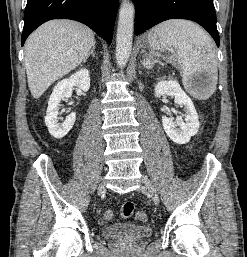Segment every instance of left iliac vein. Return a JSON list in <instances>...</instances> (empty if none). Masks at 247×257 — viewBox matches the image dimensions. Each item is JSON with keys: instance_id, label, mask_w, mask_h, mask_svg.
<instances>
[{"instance_id": "4c4485c4", "label": "left iliac vein", "mask_w": 247, "mask_h": 257, "mask_svg": "<svg viewBox=\"0 0 247 257\" xmlns=\"http://www.w3.org/2000/svg\"><path fill=\"white\" fill-rule=\"evenodd\" d=\"M142 183H143V187L146 188V190L150 194L154 204L158 205L159 204V196H158L157 190L154 187L152 181L148 177L143 176Z\"/></svg>"}]
</instances>
